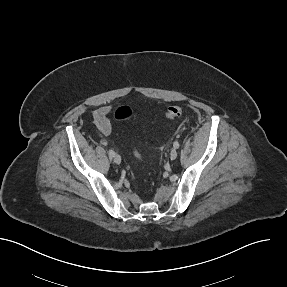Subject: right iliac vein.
<instances>
[{"mask_svg":"<svg viewBox=\"0 0 287 287\" xmlns=\"http://www.w3.org/2000/svg\"><path fill=\"white\" fill-rule=\"evenodd\" d=\"M113 160H114V162H115L116 164H120V163H121V157H120V155L116 154V155L114 156Z\"/></svg>","mask_w":287,"mask_h":287,"instance_id":"right-iliac-vein-1","label":"right iliac vein"}]
</instances>
